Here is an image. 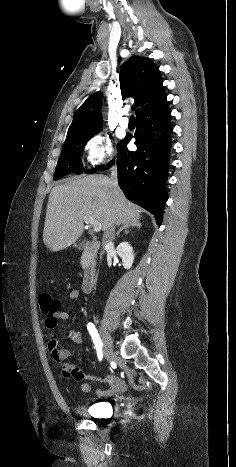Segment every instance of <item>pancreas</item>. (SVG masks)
Instances as JSON below:
<instances>
[{"mask_svg":"<svg viewBox=\"0 0 236 467\" xmlns=\"http://www.w3.org/2000/svg\"><path fill=\"white\" fill-rule=\"evenodd\" d=\"M82 266H85V264L83 263V261H82Z\"/></svg>","mask_w":236,"mask_h":467,"instance_id":"pancreas-1","label":"pancreas"}]
</instances>
